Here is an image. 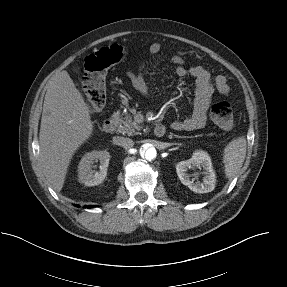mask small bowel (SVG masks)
<instances>
[{"mask_svg":"<svg viewBox=\"0 0 287 287\" xmlns=\"http://www.w3.org/2000/svg\"><path fill=\"white\" fill-rule=\"evenodd\" d=\"M163 50L160 43H153L148 49V54L154 56ZM170 61L175 66V73L179 77L190 76L195 81V96L192 113L182 120H175L171 127L177 131H192L201 129L206 125L208 109L215 90L223 95H228L230 87L223 75H217L212 79L210 72L201 65L187 66L185 60L177 54L170 55ZM128 77L133 87L144 97H150L152 92L144 78L142 71L129 72Z\"/></svg>","mask_w":287,"mask_h":287,"instance_id":"1","label":"small bowel"}]
</instances>
